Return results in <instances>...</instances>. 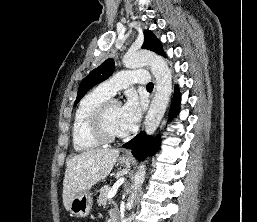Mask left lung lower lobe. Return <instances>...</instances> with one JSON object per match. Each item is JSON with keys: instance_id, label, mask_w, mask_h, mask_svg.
<instances>
[{"instance_id": "obj_1", "label": "left lung lower lobe", "mask_w": 257, "mask_h": 222, "mask_svg": "<svg viewBox=\"0 0 257 222\" xmlns=\"http://www.w3.org/2000/svg\"><path fill=\"white\" fill-rule=\"evenodd\" d=\"M180 108V94L176 87L170 109V116H175ZM160 146L158 137L147 136L144 132H140L135 138L125 143L123 147L132 150L133 156L139 161L144 160L145 157L152 155Z\"/></svg>"}]
</instances>
